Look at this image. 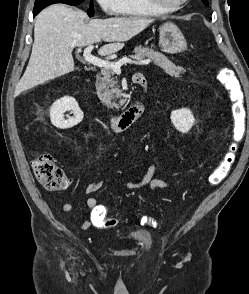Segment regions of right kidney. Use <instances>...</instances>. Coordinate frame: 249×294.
I'll return each instance as SVG.
<instances>
[{
	"label": "right kidney",
	"mask_w": 249,
	"mask_h": 294,
	"mask_svg": "<svg viewBox=\"0 0 249 294\" xmlns=\"http://www.w3.org/2000/svg\"><path fill=\"white\" fill-rule=\"evenodd\" d=\"M72 111L74 116L64 119V113ZM83 112L73 97L65 96L53 103L50 109L51 123L59 129L72 128L83 120Z\"/></svg>",
	"instance_id": "1"
}]
</instances>
